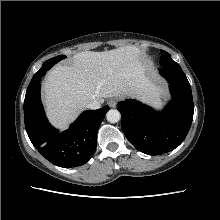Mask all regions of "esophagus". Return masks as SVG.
I'll list each match as a JSON object with an SVG mask.
<instances>
[{
    "label": "esophagus",
    "mask_w": 220,
    "mask_h": 220,
    "mask_svg": "<svg viewBox=\"0 0 220 220\" xmlns=\"http://www.w3.org/2000/svg\"><path fill=\"white\" fill-rule=\"evenodd\" d=\"M118 102V98L114 97V98H110L107 102V104L110 106V107H115L116 104Z\"/></svg>",
    "instance_id": "34e87169"
}]
</instances>
